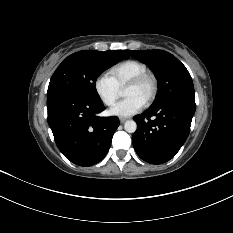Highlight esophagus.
I'll return each instance as SVG.
<instances>
[{
    "label": "esophagus",
    "instance_id": "34e87169",
    "mask_svg": "<svg viewBox=\"0 0 233 233\" xmlns=\"http://www.w3.org/2000/svg\"><path fill=\"white\" fill-rule=\"evenodd\" d=\"M126 120H127V119L124 118V117H120V118H119L120 123H124Z\"/></svg>",
    "mask_w": 233,
    "mask_h": 233
}]
</instances>
